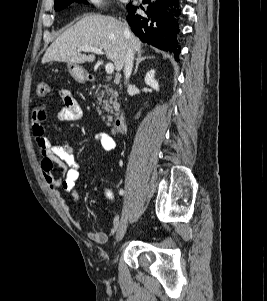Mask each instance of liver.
<instances>
[{"instance_id": "liver-1", "label": "liver", "mask_w": 267, "mask_h": 301, "mask_svg": "<svg viewBox=\"0 0 267 301\" xmlns=\"http://www.w3.org/2000/svg\"><path fill=\"white\" fill-rule=\"evenodd\" d=\"M125 27V23L112 16L86 15L50 45L42 58V64L51 61L77 65L93 62L95 55H85L78 51L79 47L92 46L103 49L119 72L124 67L129 45L133 52L141 51V41L131 32L125 34Z\"/></svg>"}]
</instances>
